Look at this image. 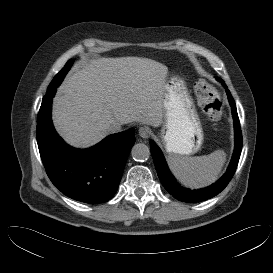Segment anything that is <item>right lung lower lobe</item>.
<instances>
[{"mask_svg":"<svg viewBox=\"0 0 273 273\" xmlns=\"http://www.w3.org/2000/svg\"><path fill=\"white\" fill-rule=\"evenodd\" d=\"M56 89L46 93L37 118V143L47 175L67 197L89 204L106 202L115 194L135 143L134 128L113 134L89 149L67 145L51 120Z\"/></svg>","mask_w":273,"mask_h":273,"instance_id":"98d812e1","label":"right lung lower lobe"}]
</instances>
